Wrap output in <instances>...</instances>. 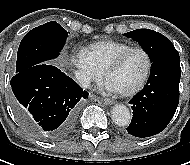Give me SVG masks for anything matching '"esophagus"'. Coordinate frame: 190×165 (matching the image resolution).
<instances>
[{"instance_id":"esophagus-1","label":"esophagus","mask_w":190,"mask_h":165,"mask_svg":"<svg viewBox=\"0 0 190 165\" xmlns=\"http://www.w3.org/2000/svg\"><path fill=\"white\" fill-rule=\"evenodd\" d=\"M101 101L105 104V105H111L114 104V101L108 98H102Z\"/></svg>"}]
</instances>
